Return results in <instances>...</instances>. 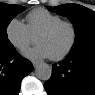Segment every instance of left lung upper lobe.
Segmentation results:
<instances>
[{
	"label": "left lung upper lobe",
	"instance_id": "obj_1",
	"mask_svg": "<svg viewBox=\"0 0 95 95\" xmlns=\"http://www.w3.org/2000/svg\"><path fill=\"white\" fill-rule=\"evenodd\" d=\"M52 12L67 16L75 27V44L71 51L80 50L90 44H95V12L78 4H63L48 7Z\"/></svg>",
	"mask_w": 95,
	"mask_h": 95
}]
</instances>
